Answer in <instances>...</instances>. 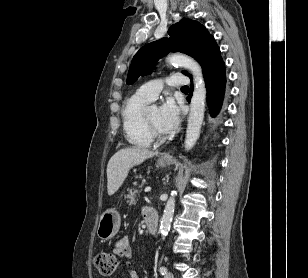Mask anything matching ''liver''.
<instances>
[{"instance_id": "liver-1", "label": "liver", "mask_w": 308, "mask_h": 278, "mask_svg": "<svg viewBox=\"0 0 308 278\" xmlns=\"http://www.w3.org/2000/svg\"><path fill=\"white\" fill-rule=\"evenodd\" d=\"M145 148L131 147L116 152L107 164V191L113 195L123 184L131 168L157 155Z\"/></svg>"}]
</instances>
